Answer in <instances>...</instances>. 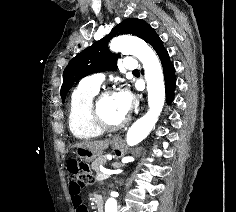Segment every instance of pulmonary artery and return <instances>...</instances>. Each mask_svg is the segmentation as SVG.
I'll list each match as a JSON object with an SVG mask.
<instances>
[{
    "instance_id": "obj_1",
    "label": "pulmonary artery",
    "mask_w": 236,
    "mask_h": 212,
    "mask_svg": "<svg viewBox=\"0 0 236 212\" xmlns=\"http://www.w3.org/2000/svg\"><path fill=\"white\" fill-rule=\"evenodd\" d=\"M125 68L134 71L138 68V62L135 59H126ZM104 78L101 74H94L83 79V84L89 87L99 88Z\"/></svg>"
}]
</instances>
